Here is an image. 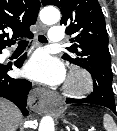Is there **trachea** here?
I'll return each mask as SVG.
<instances>
[{
    "label": "trachea",
    "instance_id": "trachea-1",
    "mask_svg": "<svg viewBox=\"0 0 117 131\" xmlns=\"http://www.w3.org/2000/svg\"><path fill=\"white\" fill-rule=\"evenodd\" d=\"M38 40L42 43H46L47 42V38L44 35H39L38 36ZM28 45V41L27 40H20L18 42V46H27Z\"/></svg>",
    "mask_w": 117,
    "mask_h": 131
}]
</instances>
